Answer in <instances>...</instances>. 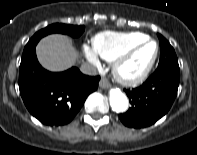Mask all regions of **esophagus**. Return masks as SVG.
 <instances>
[{"instance_id":"34e87169","label":"esophagus","mask_w":197,"mask_h":155,"mask_svg":"<svg viewBox=\"0 0 197 155\" xmlns=\"http://www.w3.org/2000/svg\"><path fill=\"white\" fill-rule=\"evenodd\" d=\"M99 86L103 89H107L110 86V83L106 78H101Z\"/></svg>"}]
</instances>
